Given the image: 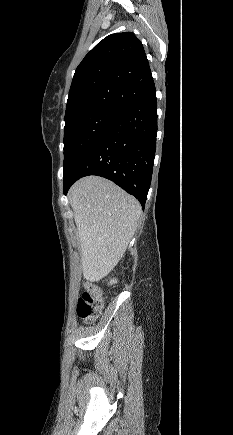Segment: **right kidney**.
I'll list each match as a JSON object with an SVG mask.
<instances>
[{
  "label": "right kidney",
  "mask_w": 233,
  "mask_h": 435,
  "mask_svg": "<svg viewBox=\"0 0 233 435\" xmlns=\"http://www.w3.org/2000/svg\"><path fill=\"white\" fill-rule=\"evenodd\" d=\"M114 283H117V280H116V279H115V280L113 279V280L110 281V284H111V285L114 284Z\"/></svg>",
  "instance_id": "right-kidney-1"
}]
</instances>
